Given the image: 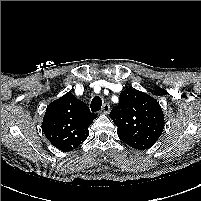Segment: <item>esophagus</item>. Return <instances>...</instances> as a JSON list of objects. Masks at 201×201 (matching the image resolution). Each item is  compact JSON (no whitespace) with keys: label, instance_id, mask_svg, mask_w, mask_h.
<instances>
[{"label":"esophagus","instance_id":"esophagus-1","mask_svg":"<svg viewBox=\"0 0 201 201\" xmlns=\"http://www.w3.org/2000/svg\"><path fill=\"white\" fill-rule=\"evenodd\" d=\"M110 112V105L105 103L100 111L101 114H108Z\"/></svg>","mask_w":201,"mask_h":201}]
</instances>
